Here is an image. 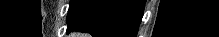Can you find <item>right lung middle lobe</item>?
Returning a JSON list of instances; mask_svg holds the SVG:
<instances>
[{"mask_svg":"<svg viewBox=\"0 0 219 37\" xmlns=\"http://www.w3.org/2000/svg\"><path fill=\"white\" fill-rule=\"evenodd\" d=\"M76 1H77V0H71V1H70V6H71L72 4H74Z\"/></svg>","mask_w":219,"mask_h":37,"instance_id":"obj_1","label":"right lung middle lobe"}]
</instances>
